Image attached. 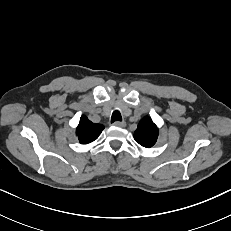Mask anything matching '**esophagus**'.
<instances>
[{"label":"esophagus","mask_w":231,"mask_h":231,"mask_svg":"<svg viewBox=\"0 0 231 231\" xmlns=\"http://www.w3.org/2000/svg\"><path fill=\"white\" fill-rule=\"evenodd\" d=\"M113 125L116 127H125L126 123L124 121H116L113 123Z\"/></svg>","instance_id":"esophagus-1"}]
</instances>
